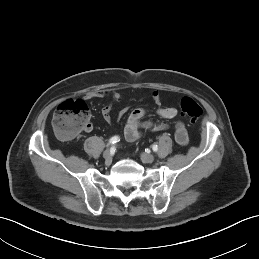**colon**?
Here are the masks:
<instances>
[{"instance_id": "colon-1", "label": "colon", "mask_w": 259, "mask_h": 259, "mask_svg": "<svg viewBox=\"0 0 259 259\" xmlns=\"http://www.w3.org/2000/svg\"><path fill=\"white\" fill-rule=\"evenodd\" d=\"M181 113L191 123L197 122L202 115L199 104L190 97L180 100ZM90 110L83 100H66L60 104L55 112L52 125L55 132L63 138H73L90 124Z\"/></svg>"}]
</instances>
